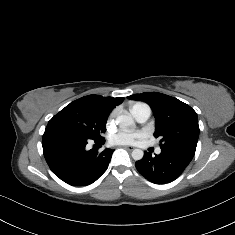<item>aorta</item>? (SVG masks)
<instances>
[{
	"instance_id": "762f6f07",
	"label": "aorta",
	"mask_w": 235,
	"mask_h": 235,
	"mask_svg": "<svg viewBox=\"0 0 235 235\" xmlns=\"http://www.w3.org/2000/svg\"><path fill=\"white\" fill-rule=\"evenodd\" d=\"M116 122L120 126L121 129H125L134 124L133 118L129 114H123V115L117 116ZM143 156H144V152L141 149H134L132 151V158L134 160H141Z\"/></svg>"
}]
</instances>
